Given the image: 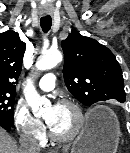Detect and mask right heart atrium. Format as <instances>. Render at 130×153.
Listing matches in <instances>:
<instances>
[{
	"mask_svg": "<svg viewBox=\"0 0 130 153\" xmlns=\"http://www.w3.org/2000/svg\"><path fill=\"white\" fill-rule=\"evenodd\" d=\"M13 124L21 137L37 142L44 140V123L34 117L24 104L16 105L13 112Z\"/></svg>",
	"mask_w": 130,
	"mask_h": 153,
	"instance_id": "1",
	"label": "right heart atrium"
}]
</instances>
